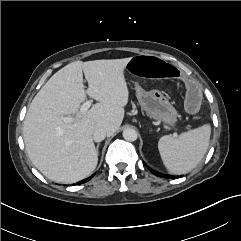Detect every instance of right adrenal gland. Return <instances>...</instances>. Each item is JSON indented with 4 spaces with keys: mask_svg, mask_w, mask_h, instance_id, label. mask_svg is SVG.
Segmentation results:
<instances>
[{
    "mask_svg": "<svg viewBox=\"0 0 241 241\" xmlns=\"http://www.w3.org/2000/svg\"><path fill=\"white\" fill-rule=\"evenodd\" d=\"M98 149H99V144H97V146H96L97 154H98Z\"/></svg>",
    "mask_w": 241,
    "mask_h": 241,
    "instance_id": "obj_1",
    "label": "right adrenal gland"
}]
</instances>
